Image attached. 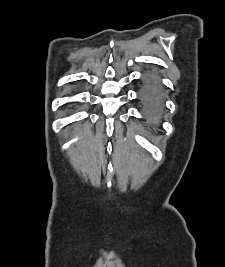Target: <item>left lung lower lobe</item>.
<instances>
[{
	"instance_id": "left-lung-lower-lobe-1",
	"label": "left lung lower lobe",
	"mask_w": 225,
	"mask_h": 267,
	"mask_svg": "<svg viewBox=\"0 0 225 267\" xmlns=\"http://www.w3.org/2000/svg\"><path fill=\"white\" fill-rule=\"evenodd\" d=\"M142 103L144 108L151 115V118L158 122L163 112V104L159 94V87L153 77L147 81V89L143 93Z\"/></svg>"
}]
</instances>
